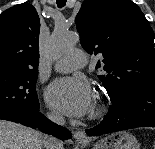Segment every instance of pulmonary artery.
I'll return each instance as SVG.
<instances>
[{"label":"pulmonary artery","instance_id":"e3ab8cb5","mask_svg":"<svg viewBox=\"0 0 155 149\" xmlns=\"http://www.w3.org/2000/svg\"><path fill=\"white\" fill-rule=\"evenodd\" d=\"M86 64V53L82 49L68 51L56 61L54 69L59 72H70Z\"/></svg>","mask_w":155,"mask_h":149}]
</instances>
